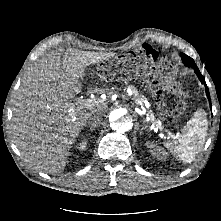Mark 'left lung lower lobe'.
I'll return each instance as SVG.
<instances>
[{"instance_id":"left-lung-lower-lobe-1","label":"left lung lower lobe","mask_w":221,"mask_h":221,"mask_svg":"<svg viewBox=\"0 0 221 221\" xmlns=\"http://www.w3.org/2000/svg\"><path fill=\"white\" fill-rule=\"evenodd\" d=\"M181 55H182V53H181ZM192 68H194L195 73L197 74V76H198V78L200 79L201 83H202V84H205V79H204V77L201 75V73H200L199 69L197 68V66H194V67H192ZM205 91H206V95H207V97H208V99H209V103H210V107H211V99H210L209 90H208V88H207V85H205Z\"/></svg>"}]
</instances>
